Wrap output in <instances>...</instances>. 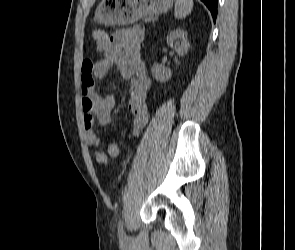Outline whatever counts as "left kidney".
I'll return each mask as SVG.
<instances>
[{"mask_svg":"<svg viewBox=\"0 0 295 250\" xmlns=\"http://www.w3.org/2000/svg\"><path fill=\"white\" fill-rule=\"evenodd\" d=\"M166 41L168 45L175 47L179 55L183 56L188 52L189 43L187 41V32L181 29L172 30L167 35ZM151 73L160 82H166L172 77L171 70L158 63L152 66Z\"/></svg>","mask_w":295,"mask_h":250,"instance_id":"left-kidney-1","label":"left kidney"}]
</instances>
